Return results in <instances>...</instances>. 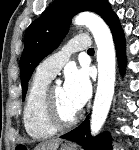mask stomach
<instances>
[{
  "instance_id": "stomach-1",
  "label": "stomach",
  "mask_w": 139,
  "mask_h": 150,
  "mask_svg": "<svg viewBox=\"0 0 139 150\" xmlns=\"http://www.w3.org/2000/svg\"><path fill=\"white\" fill-rule=\"evenodd\" d=\"M60 150H74V149H73L72 147H69V146H67V145H64V146L61 147Z\"/></svg>"
}]
</instances>
